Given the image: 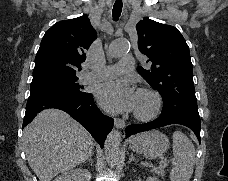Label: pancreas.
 Listing matches in <instances>:
<instances>
[{"label": "pancreas", "mask_w": 228, "mask_h": 181, "mask_svg": "<svg viewBox=\"0 0 228 181\" xmlns=\"http://www.w3.org/2000/svg\"><path fill=\"white\" fill-rule=\"evenodd\" d=\"M156 173H158V175H161V177H164L165 171H163L162 167H159V169L156 171Z\"/></svg>", "instance_id": "pancreas-1"}]
</instances>
